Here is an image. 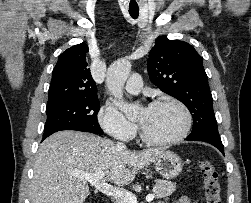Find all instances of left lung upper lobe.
Returning <instances> with one entry per match:
<instances>
[{"label": "left lung upper lobe", "mask_w": 251, "mask_h": 203, "mask_svg": "<svg viewBox=\"0 0 251 203\" xmlns=\"http://www.w3.org/2000/svg\"><path fill=\"white\" fill-rule=\"evenodd\" d=\"M147 68L154 85L189 109L194 122L189 136L220 137L202 57L193 46L160 36L150 50Z\"/></svg>", "instance_id": "left-lung-upper-lobe-1"}]
</instances>
